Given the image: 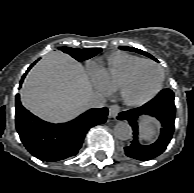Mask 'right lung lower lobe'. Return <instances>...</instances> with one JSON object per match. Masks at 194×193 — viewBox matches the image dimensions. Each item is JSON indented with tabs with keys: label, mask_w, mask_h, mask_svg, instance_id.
I'll return each instance as SVG.
<instances>
[{
	"label": "right lung lower lobe",
	"mask_w": 194,
	"mask_h": 193,
	"mask_svg": "<svg viewBox=\"0 0 194 193\" xmlns=\"http://www.w3.org/2000/svg\"><path fill=\"white\" fill-rule=\"evenodd\" d=\"M27 72L22 77L20 85ZM15 106L16 129L22 143L33 156L48 162L76 155L82 147L88 130L106 122L108 115L106 107L90 109L68 123L52 124L39 119L26 110L21 105L19 94L16 96Z\"/></svg>",
	"instance_id": "98d812e1"
}]
</instances>
